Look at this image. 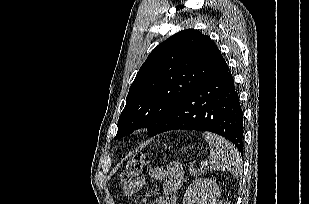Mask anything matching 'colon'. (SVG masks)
<instances>
[{
  "label": "colon",
  "mask_w": 309,
  "mask_h": 204,
  "mask_svg": "<svg viewBox=\"0 0 309 204\" xmlns=\"http://www.w3.org/2000/svg\"><path fill=\"white\" fill-rule=\"evenodd\" d=\"M148 166L146 155L138 154L130 159L120 174V181L127 185L142 174Z\"/></svg>",
  "instance_id": "obj_1"
}]
</instances>
